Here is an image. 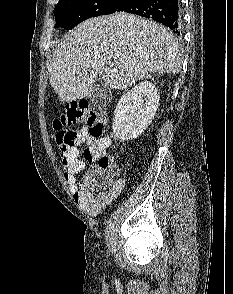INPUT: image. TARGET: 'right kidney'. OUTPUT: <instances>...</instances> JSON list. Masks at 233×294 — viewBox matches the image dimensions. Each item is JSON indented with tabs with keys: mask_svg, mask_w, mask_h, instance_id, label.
<instances>
[{
	"mask_svg": "<svg viewBox=\"0 0 233 294\" xmlns=\"http://www.w3.org/2000/svg\"><path fill=\"white\" fill-rule=\"evenodd\" d=\"M159 99L157 88L149 81H143L125 93L114 112L115 137L128 141L140 136L154 118Z\"/></svg>",
	"mask_w": 233,
	"mask_h": 294,
	"instance_id": "obj_1",
	"label": "right kidney"
}]
</instances>
